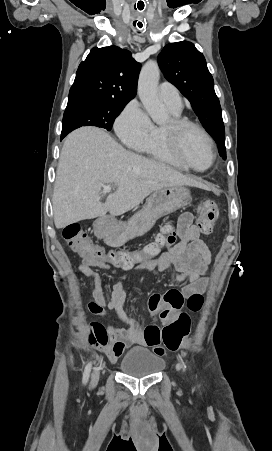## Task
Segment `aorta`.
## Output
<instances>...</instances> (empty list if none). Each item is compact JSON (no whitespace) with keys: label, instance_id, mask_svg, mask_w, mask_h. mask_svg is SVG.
Segmentation results:
<instances>
[{"label":"aorta","instance_id":"1","mask_svg":"<svg viewBox=\"0 0 272 451\" xmlns=\"http://www.w3.org/2000/svg\"><path fill=\"white\" fill-rule=\"evenodd\" d=\"M159 80L160 70L157 62L148 60L141 68L138 80V96L153 122L164 124V122H167L168 116L164 114L163 104L158 96Z\"/></svg>","mask_w":272,"mask_h":451}]
</instances>
